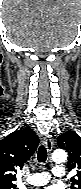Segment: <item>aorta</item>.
<instances>
[{
    "label": "aorta",
    "instance_id": "1",
    "mask_svg": "<svg viewBox=\"0 0 81 189\" xmlns=\"http://www.w3.org/2000/svg\"><path fill=\"white\" fill-rule=\"evenodd\" d=\"M52 160L56 163H63L67 160V153L64 150H55L52 154Z\"/></svg>",
    "mask_w": 81,
    "mask_h": 189
}]
</instances>
